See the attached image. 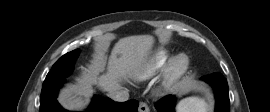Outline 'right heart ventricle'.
Returning <instances> with one entry per match:
<instances>
[{
  "label": "right heart ventricle",
  "mask_w": 270,
  "mask_h": 112,
  "mask_svg": "<svg viewBox=\"0 0 270 112\" xmlns=\"http://www.w3.org/2000/svg\"><path fill=\"white\" fill-rule=\"evenodd\" d=\"M170 59V52L166 49L154 51L136 71V78L146 80L162 69Z\"/></svg>",
  "instance_id": "e07e8e85"
}]
</instances>
